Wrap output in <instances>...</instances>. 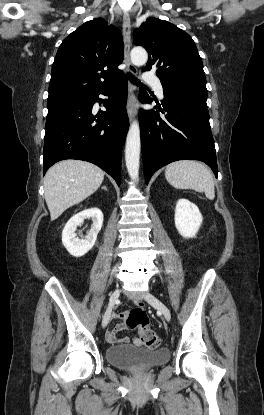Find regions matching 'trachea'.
I'll use <instances>...</instances> for the list:
<instances>
[{"label":"trachea","mask_w":264,"mask_h":415,"mask_svg":"<svg viewBox=\"0 0 264 415\" xmlns=\"http://www.w3.org/2000/svg\"><path fill=\"white\" fill-rule=\"evenodd\" d=\"M127 77L130 80L131 83L139 86H144L143 83H141L140 80H138L132 73L128 72Z\"/></svg>","instance_id":"obj_1"}]
</instances>
